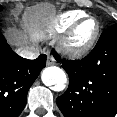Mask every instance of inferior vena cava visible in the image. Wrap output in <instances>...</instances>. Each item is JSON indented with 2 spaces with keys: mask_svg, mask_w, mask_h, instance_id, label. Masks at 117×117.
Wrapping results in <instances>:
<instances>
[{
  "mask_svg": "<svg viewBox=\"0 0 117 117\" xmlns=\"http://www.w3.org/2000/svg\"><path fill=\"white\" fill-rule=\"evenodd\" d=\"M17 54L26 59H35L39 56V48L37 47H20Z\"/></svg>",
  "mask_w": 117,
  "mask_h": 117,
  "instance_id": "inferior-vena-cava-1",
  "label": "inferior vena cava"
}]
</instances>
